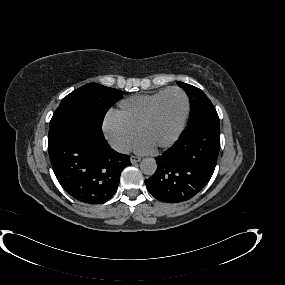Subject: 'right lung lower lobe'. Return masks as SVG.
<instances>
[{
	"instance_id": "obj_1",
	"label": "right lung lower lobe",
	"mask_w": 285,
	"mask_h": 285,
	"mask_svg": "<svg viewBox=\"0 0 285 285\" xmlns=\"http://www.w3.org/2000/svg\"><path fill=\"white\" fill-rule=\"evenodd\" d=\"M72 119L49 130L48 150L53 171L73 198L90 204L109 200L117 191L130 157L113 150L102 125Z\"/></svg>"
}]
</instances>
